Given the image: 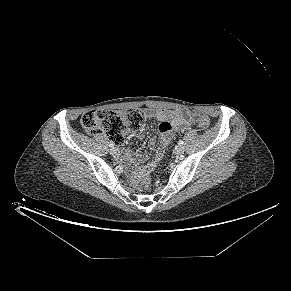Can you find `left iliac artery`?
<instances>
[{"mask_svg":"<svg viewBox=\"0 0 291 291\" xmlns=\"http://www.w3.org/2000/svg\"><path fill=\"white\" fill-rule=\"evenodd\" d=\"M183 143L184 142L182 140H179V142H178L179 145H183Z\"/></svg>","mask_w":291,"mask_h":291,"instance_id":"44dca946","label":"left iliac artery"}]
</instances>
